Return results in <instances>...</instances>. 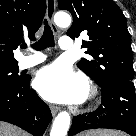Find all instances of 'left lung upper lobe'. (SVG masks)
Segmentation results:
<instances>
[{"label": "left lung upper lobe", "mask_w": 136, "mask_h": 136, "mask_svg": "<svg viewBox=\"0 0 136 136\" xmlns=\"http://www.w3.org/2000/svg\"><path fill=\"white\" fill-rule=\"evenodd\" d=\"M68 10L73 24L71 38L87 33L82 48L92 59L82 58L77 66L102 87L112 81H133V52L126 18L113 0H58Z\"/></svg>", "instance_id": "5c2ea615"}]
</instances>
